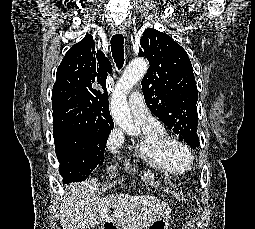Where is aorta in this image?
<instances>
[{"mask_svg": "<svg viewBox=\"0 0 255 229\" xmlns=\"http://www.w3.org/2000/svg\"><path fill=\"white\" fill-rule=\"evenodd\" d=\"M147 64L144 59L133 60L119 82L117 83L111 98V114L115 122L129 135L137 136L139 129L134 125L130 109L127 104L126 94L144 76Z\"/></svg>", "mask_w": 255, "mask_h": 229, "instance_id": "1", "label": "aorta"}]
</instances>
